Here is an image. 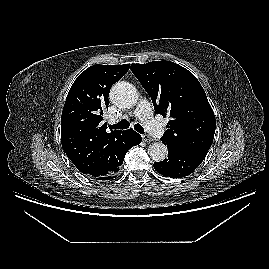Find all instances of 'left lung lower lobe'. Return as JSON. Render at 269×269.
<instances>
[{
	"instance_id": "left-lung-lower-lobe-1",
	"label": "left lung lower lobe",
	"mask_w": 269,
	"mask_h": 269,
	"mask_svg": "<svg viewBox=\"0 0 269 269\" xmlns=\"http://www.w3.org/2000/svg\"><path fill=\"white\" fill-rule=\"evenodd\" d=\"M168 148V158L155 162V170L165 177L181 178L191 174L204 160L208 151Z\"/></svg>"
}]
</instances>
